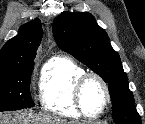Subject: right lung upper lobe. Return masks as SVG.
<instances>
[{
    "instance_id": "right-lung-upper-lobe-1",
    "label": "right lung upper lobe",
    "mask_w": 145,
    "mask_h": 124,
    "mask_svg": "<svg viewBox=\"0 0 145 124\" xmlns=\"http://www.w3.org/2000/svg\"><path fill=\"white\" fill-rule=\"evenodd\" d=\"M43 36L38 18L24 24L19 34L6 42L0 51V70H9L34 63L37 48Z\"/></svg>"
}]
</instances>
